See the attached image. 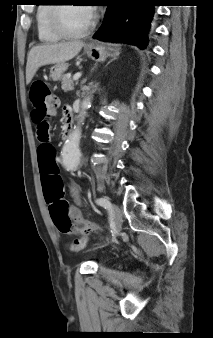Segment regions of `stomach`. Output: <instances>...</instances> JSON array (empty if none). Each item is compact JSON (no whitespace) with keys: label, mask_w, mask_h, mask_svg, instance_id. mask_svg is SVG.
I'll use <instances>...</instances> for the list:
<instances>
[{"label":"stomach","mask_w":213,"mask_h":338,"mask_svg":"<svg viewBox=\"0 0 213 338\" xmlns=\"http://www.w3.org/2000/svg\"><path fill=\"white\" fill-rule=\"evenodd\" d=\"M85 54L95 61H102L107 57H113L119 54V49L111 44L90 43L84 47ZM66 63H57L50 69V77L53 81H58L63 77L67 70Z\"/></svg>","instance_id":"1"}]
</instances>
